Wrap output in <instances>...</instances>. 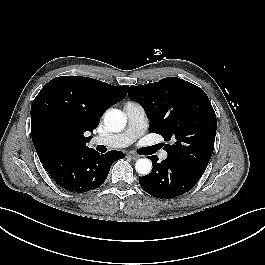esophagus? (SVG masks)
Masks as SVG:
<instances>
[{"label": "esophagus", "instance_id": "34e87169", "mask_svg": "<svg viewBox=\"0 0 265 265\" xmlns=\"http://www.w3.org/2000/svg\"><path fill=\"white\" fill-rule=\"evenodd\" d=\"M127 156H128L129 158L133 159V160H136V159L139 158V156L136 155V154H134V153H128Z\"/></svg>", "mask_w": 265, "mask_h": 265}]
</instances>
